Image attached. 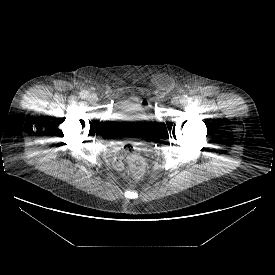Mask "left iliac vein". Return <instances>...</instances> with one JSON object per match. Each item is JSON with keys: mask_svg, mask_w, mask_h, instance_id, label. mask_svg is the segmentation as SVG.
<instances>
[{"mask_svg": "<svg viewBox=\"0 0 275 275\" xmlns=\"http://www.w3.org/2000/svg\"><path fill=\"white\" fill-rule=\"evenodd\" d=\"M172 103L175 106H179V105H182L184 101H183V98H181L180 96H176L173 98Z\"/></svg>", "mask_w": 275, "mask_h": 275, "instance_id": "1", "label": "left iliac vein"}]
</instances>
